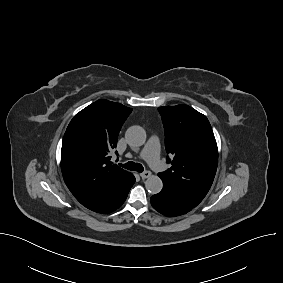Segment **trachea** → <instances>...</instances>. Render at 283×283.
<instances>
[{"mask_svg":"<svg viewBox=\"0 0 283 283\" xmlns=\"http://www.w3.org/2000/svg\"><path fill=\"white\" fill-rule=\"evenodd\" d=\"M120 166H122L125 169L137 171V172H143V170H144V168L141 164L135 163V162H132V161H129L125 164H120Z\"/></svg>","mask_w":283,"mask_h":283,"instance_id":"obj_1","label":"trachea"}]
</instances>
